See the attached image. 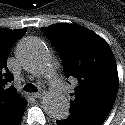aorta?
<instances>
[{
    "instance_id": "1",
    "label": "aorta",
    "mask_w": 125,
    "mask_h": 125,
    "mask_svg": "<svg viewBox=\"0 0 125 125\" xmlns=\"http://www.w3.org/2000/svg\"><path fill=\"white\" fill-rule=\"evenodd\" d=\"M17 57L22 66L35 75H43L48 69L50 54L45 43L36 37L23 39L17 47ZM44 111L50 117L62 120L69 115V102L60 93L49 91L42 97Z\"/></svg>"
}]
</instances>
